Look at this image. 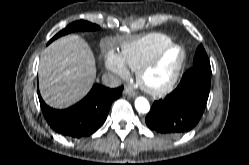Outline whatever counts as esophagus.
<instances>
[{
    "instance_id": "esophagus-1",
    "label": "esophagus",
    "mask_w": 249,
    "mask_h": 165,
    "mask_svg": "<svg viewBox=\"0 0 249 165\" xmlns=\"http://www.w3.org/2000/svg\"><path fill=\"white\" fill-rule=\"evenodd\" d=\"M124 94L129 96V97H134L136 95V92L132 88L126 87L124 89Z\"/></svg>"
}]
</instances>
